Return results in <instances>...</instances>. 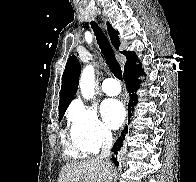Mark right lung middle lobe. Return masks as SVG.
Returning a JSON list of instances; mask_svg holds the SVG:
<instances>
[{
	"label": "right lung middle lobe",
	"mask_w": 196,
	"mask_h": 182,
	"mask_svg": "<svg viewBox=\"0 0 196 182\" xmlns=\"http://www.w3.org/2000/svg\"><path fill=\"white\" fill-rule=\"evenodd\" d=\"M63 115L59 116V122L62 120Z\"/></svg>",
	"instance_id": "1"
}]
</instances>
